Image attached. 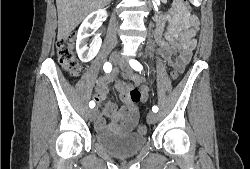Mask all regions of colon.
<instances>
[{
	"mask_svg": "<svg viewBox=\"0 0 250 169\" xmlns=\"http://www.w3.org/2000/svg\"><path fill=\"white\" fill-rule=\"evenodd\" d=\"M182 8H190L189 0H180ZM76 34H67V37H59L56 40V51L60 65L62 68L71 76H78L81 71L79 60L74 51V43H76ZM171 82L175 85L176 80L179 78V72L177 69H170ZM131 100H140L141 91L134 90L130 91ZM145 127L140 126V132L145 131Z\"/></svg>",
	"mask_w": 250,
	"mask_h": 169,
	"instance_id": "1",
	"label": "colon"
}]
</instances>
